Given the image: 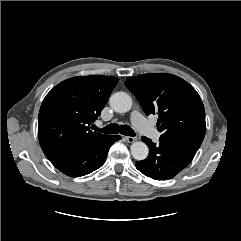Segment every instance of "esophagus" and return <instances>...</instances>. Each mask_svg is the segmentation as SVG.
I'll list each match as a JSON object with an SVG mask.
<instances>
[{"label": "esophagus", "mask_w": 241, "mask_h": 241, "mask_svg": "<svg viewBox=\"0 0 241 241\" xmlns=\"http://www.w3.org/2000/svg\"><path fill=\"white\" fill-rule=\"evenodd\" d=\"M125 140L128 142V143H133L137 140L136 137H132V136H126L125 137Z\"/></svg>", "instance_id": "esophagus-1"}]
</instances>
